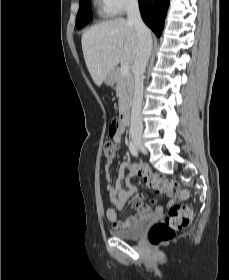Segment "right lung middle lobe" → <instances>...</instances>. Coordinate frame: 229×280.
Masks as SVG:
<instances>
[{
  "mask_svg": "<svg viewBox=\"0 0 229 280\" xmlns=\"http://www.w3.org/2000/svg\"><path fill=\"white\" fill-rule=\"evenodd\" d=\"M80 7L76 17V27L81 28L92 19L91 0H79Z\"/></svg>",
  "mask_w": 229,
  "mask_h": 280,
  "instance_id": "dd1d6c3e",
  "label": "right lung middle lobe"
}]
</instances>
